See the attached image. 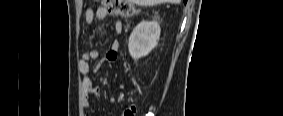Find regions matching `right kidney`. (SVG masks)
<instances>
[{"mask_svg":"<svg viewBox=\"0 0 283 116\" xmlns=\"http://www.w3.org/2000/svg\"><path fill=\"white\" fill-rule=\"evenodd\" d=\"M161 28L156 21H142L129 37L128 49L131 57L137 60L147 56L158 44Z\"/></svg>","mask_w":283,"mask_h":116,"instance_id":"ca27d5eb","label":"right kidney"}]
</instances>
